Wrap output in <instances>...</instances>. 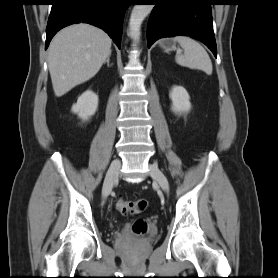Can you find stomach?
<instances>
[{
	"label": "stomach",
	"mask_w": 278,
	"mask_h": 278,
	"mask_svg": "<svg viewBox=\"0 0 278 278\" xmlns=\"http://www.w3.org/2000/svg\"><path fill=\"white\" fill-rule=\"evenodd\" d=\"M159 45L165 51H172L176 48V44L172 39H164L160 41Z\"/></svg>",
	"instance_id": "0dacf381"
}]
</instances>
